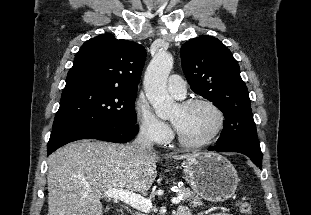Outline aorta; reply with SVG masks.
<instances>
[{
    "mask_svg": "<svg viewBox=\"0 0 311 215\" xmlns=\"http://www.w3.org/2000/svg\"><path fill=\"white\" fill-rule=\"evenodd\" d=\"M172 68V55L164 51L158 52L148 65L144 77L146 97L161 119L167 118L175 106L174 99L167 91V78Z\"/></svg>",
    "mask_w": 311,
    "mask_h": 215,
    "instance_id": "762f6f07",
    "label": "aorta"
}]
</instances>
